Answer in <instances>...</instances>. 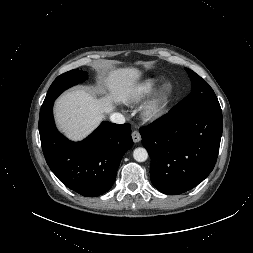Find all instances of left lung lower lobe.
I'll list each match as a JSON object with an SVG mask.
<instances>
[{
  "label": "left lung lower lobe",
  "mask_w": 253,
  "mask_h": 253,
  "mask_svg": "<svg viewBox=\"0 0 253 253\" xmlns=\"http://www.w3.org/2000/svg\"><path fill=\"white\" fill-rule=\"evenodd\" d=\"M151 157V182L168 195L184 193L213 170L222 136V111H170L140 128Z\"/></svg>",
  "instance_id": "0a47b994"
}]
</instances>
